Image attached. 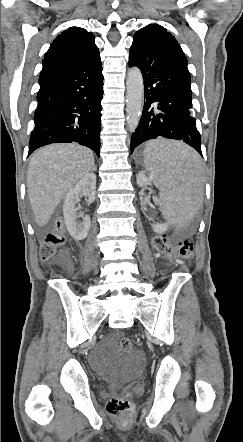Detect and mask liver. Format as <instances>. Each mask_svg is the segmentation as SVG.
<instances>
[{
	"mask_svg": "<svg viewBox=\"0 0 243 442\" xmlns=\"http://www.w3.org/2000/svg\"><path fill=\"white\" fill-rule=\"evenodd\" d=\"M94 167L93 152L76 143L52 144L31 157L27 192L38 226H45L72 187Z\"/></svg>",
	"mask_w": 243,
	"mask_h": 442,
	"instance_id": "liver-1",
	"label": "liver"
}]
</instances>
